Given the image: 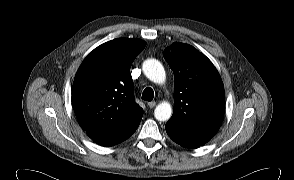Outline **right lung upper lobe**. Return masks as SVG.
<instances>
[{"label": "right lung upper lobe", "mask_w": 294, "mask_h": 180, "mask_svg": "<svg viewBox=\"0 0 294 180\" xmlns=\"http://www.w3.org/2000/svg\"><path fill=\"white\" fill-rule=\"evenodd\" d=\"M145 45L139 39H114L95 48L79 67L72 105L92 140L119 133L143 114L134 101L130 67Z\"/></svg>", "instance_id": "right-lung-upper-lobe-1"}]
</instances>
